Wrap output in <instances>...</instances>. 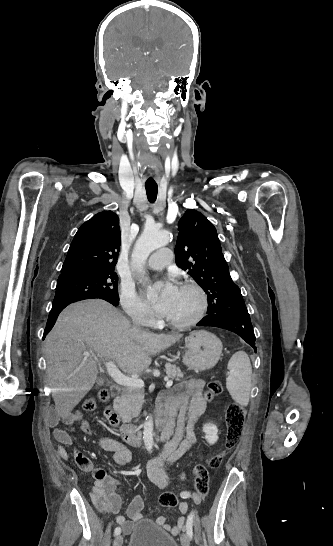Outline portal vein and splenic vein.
I'll return each instance as SVG.
<instances>
[{
    "instance_id": "1",
    "label": "portal vein and splenic vein",
    "mask_w": 333,
    "mask_h": 546,
    "mask_svg": "<svg viewBox=\"0 0 333 546\" xmlns=\"http://www.w3.org/2000/svg\"><path fill=\"white\" fill-rule=\"evenodd\" d=\"M86 356H91L90 353H85ZM107 372L109 375L113 378V380L121 385V386H127V387H133V388H142L144 387V381L141 378H135L130 377L127 375H124L114 364L113 361H108L105 363ZM167 381L166 387H171L173 384L172 380H169L168 378H165Z\"/></svg>"
}]
</instances>
